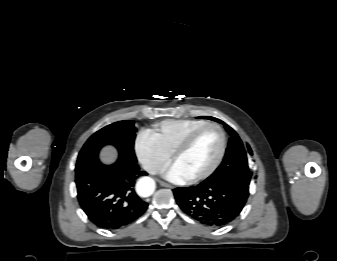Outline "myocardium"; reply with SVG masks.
Returning a JSON list of instances; mask_svg holds the SVG:
<instances>
[{
	"label": "myocardium",
	"mask_w": 337,
	"mask_h": 261,
	"mask_svg": "<svg viewBox=\"0 0 337 261\" xmlns=\"http://www.w3.org/2000/svg\"><path fill=\"white\" fill-rule=\"evenodd\" d=\"M210 128L217 130L220 134L221 138L220 150L214 162L205 171L190 178V181L192 182H198L208 178L218 169V167L222 163L227 149V136L224 129L219 124L216 123L210 122L204 123L203 125L190 131L172 152V160L175 161L182 153H184L192 145L194 140L201 132Z\"/></svg>",
	"instance_id": "f54148a6"
}]
</instances>
